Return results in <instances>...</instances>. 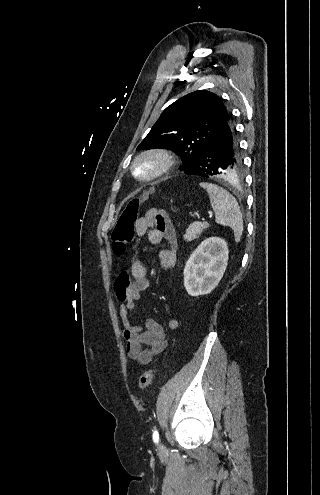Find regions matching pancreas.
<instances>
[{"instance_id": "1", "label": "pancreas", "mask_w": 320, "mask_h": 495, "mask_svg": "<svg viewBox=\"0 0 320 495\" xmlns=\"http://www.w3.org/2000/svg\"><path fill=\"white\" fill-rule=\"evenodd\" d=\"M207 228H209V224L206 222L191 223L186 230V233L184 235V240L190 242L194 239H198L201 233L205 231Z\"/></svg>"}]
</instances>
